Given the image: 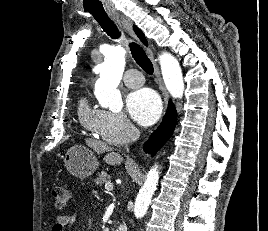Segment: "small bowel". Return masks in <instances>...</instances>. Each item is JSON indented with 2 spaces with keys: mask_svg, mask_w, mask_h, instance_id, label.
I'll return each instance as SVG.
<instances>
[{
  "mask_svg": "<svg viewBox=\"0 0 268 231\" xmlns=\"http://www.w3.org/2000/svg\"><path fill=\"white\" fill-rule=\"evenodd\" d=\"M77 222V214L75 212H69L63 215L57 216L52 231H63L66 228L74 226Z\"/></svg>",
  "mask_w": 268,
  "mask_h": 231,
  "instance_id": "small-bowel-1",
  "label": "small bowel"
}]
</instances>
